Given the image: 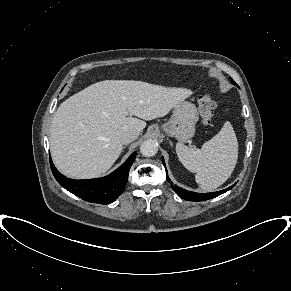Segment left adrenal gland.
<instances>
[{
  "instance_id": "1",
  "label": "left adrenal gland",
  "mask_w": 291,
  "mask_h": 291,
  "mask_svg": "<svg viewBox=\"0 0 291 291\" xmlns=\"http://www.w3.org/2000/svg\"><path fill=\"white\" fill-rule=\"evenodd\" d=\"M170 143H171V146H173V144H172V142L170 141Z\"/></svg>"
}]
</instances>
